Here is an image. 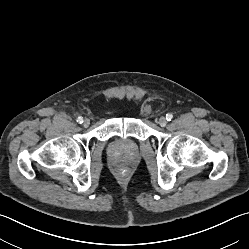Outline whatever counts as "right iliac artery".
Returning <instances> with one entry per match:
<instances>
[{"label": "right iliac artery", "mask_w": 249, "mask_h": 249, "mask_svg": "<svg viewBox=\"0 0 249 249\" xmlns=\"http://www.w3.org/2000/svg\"><path fill=\"white\" fill-rule=\"evenodd\" d=\"M77 122H78L79 124L83 123V118H82V117H78V118H77Z\"/></svg>", "instance_id": "right-iliac-artery-1"}]
</instances>
